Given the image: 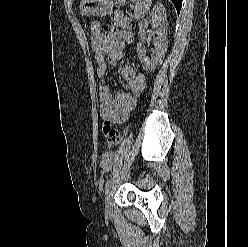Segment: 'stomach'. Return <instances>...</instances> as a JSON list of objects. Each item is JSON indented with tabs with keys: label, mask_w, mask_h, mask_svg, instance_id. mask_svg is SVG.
Masks as SVG:
<instances>
[{
	"label": "stomach",
	"mask_w": 248,
	"mask_h": 247,
	"mask_svg": "<svg viewBox=\"0 0 248 247\" xmlns=\"http://www.w3.org/2000/svg\"><path fill=\"white\" fill-rule=\"evenodd\" d=\"M116 4L123 3L125 0H82L80 3V14L82 16H105L112 13Z\"/></svg>",
	"instance_id": "obj_1"
}]
</instances>
